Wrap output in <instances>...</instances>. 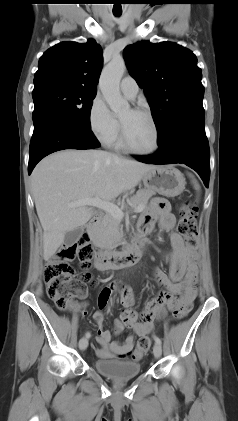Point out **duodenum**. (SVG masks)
Segmentation results:
<instances>
[{
	"label": "duodenum",
	"instance_id": "obj_1",
	"mask_svg": "<svg viewBox=\"0 0 238 421\" xmlns=\"http://www.w3.org/2000/svg\"><path fill=\"white\" fill-rule=\"evenodd\" d=\"M99 222L94 216L87 225L89 232L93 231ZM142 256V246L136 242L122 251H99L94 258V266L98 270H108L131 266L137 263Z\"/></svg>",
	"mask_w": 238,
	"mask_h": 421
}]
</instances>
